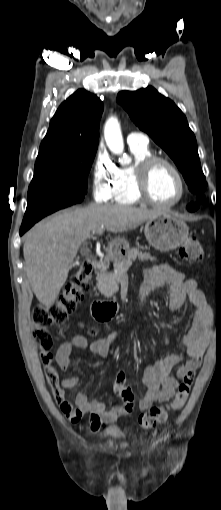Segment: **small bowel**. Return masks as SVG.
<instances>
[{
    "instance_id": "1",
    "label": "small bowel",
    "mask_w": 221,
    "mask_h": 510,
    "mask_svg": "<svg viewBox=\"0 0 221 510\" xmlns=\"http://www.w3.org/2000/svg\"><path fill=\"white\" fill-rule=\"evenodd\" d=\"M169 288V308L180 309L188 300L193 308V316L189 329L181 337L180 343L184 352L156 359L148 365L143 373L145 392L135 404V396L129 387L123 371L117 370L113 385V392L120 396L124 403L108 408L99 400H90L85 391H80L75 397V404L70 402L65 390L75 388L79 383L77 376L59 379L53 393L61 398L59 407L71 423H78L86 414L90 417V427L99 428L103 423H114L121 416L132 415L135 410H147L152 403L170 400L176 390L177 379L171 375L172 370L179 365L177 377L182 379L187 372L196 371L203 360L205 351L213 333L212 310L207 304L203 292L197 287L192 278L170 265H158L146 269L143 282L138 293V307L143 308L148 294L158 288ZM118 338L114 333L107 338L88 343L80 335H74L64 341L55 354V361L60 370L68 372L71 369L70 355L73 348L89 349L100 357H107ZM129 392V395L123 392Z\"/></svg>"
}]
</instances>
